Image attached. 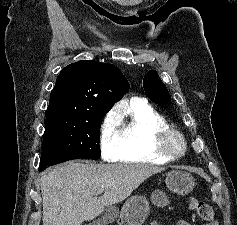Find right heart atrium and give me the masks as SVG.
<instances>
[{"label": "right heart atrium", "instance_id": "1", "mask_svg": "<svg viewBox=\"0 0 237 225\" xmlns=\"http://www.w3.org/2000/svg\"><path fill=\"white\" fill-rule=\"evenodd\" d=\"M99 147L105 161H116L121 147L118 121L113 113L106 114L99 126Z\"/></svg>", "mask_w": 237, "mask_h": 225}]
</instances>
